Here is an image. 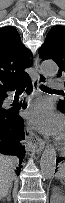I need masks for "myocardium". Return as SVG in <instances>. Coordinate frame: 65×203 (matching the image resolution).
Returning a JSON list of instances; mask_svg holds the SVG:
<instances>
[{
    "instance_id": "myocardium-1",
    "label": "myocardium",
    "mask_w": 65,
    "mask_h": 203,
    "mask_svg": "<svg viewBox=\"0 0 65 203\" xmlns=\"http://www.w3.org/2000/svg\"><path fill=\"white\" fill-rule=\"evenodd\" d=\"M64 144H65L64 138H61V139L58 140V142H57V145H58V147H59L61 150H64V149H65Z\"/></svg>"
}]
</instances>
